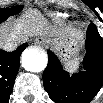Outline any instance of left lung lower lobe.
I'll list each match as a JSON object with an SVG mask.
<instances>
[{"label": "left lung lower lobe", "mask_w": 103, "mask_h": 103, "mask_svg": "<svg viewBox=\"0 0 103 103\" xmlns=\"http://www.w3.org/2000/svg\"><path fill=\"white\" fill-rule=\"evenodd\" d=\"M84 71L70 76L58 58L48 51L49 62L43 73V83L49 97L56 103H89L103 84V43L94 24L86 33Z\"/></svg>", "instance_id": "1"}]
</instances>
